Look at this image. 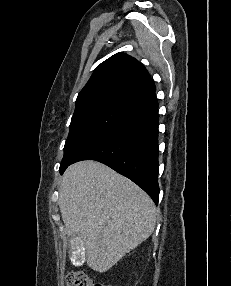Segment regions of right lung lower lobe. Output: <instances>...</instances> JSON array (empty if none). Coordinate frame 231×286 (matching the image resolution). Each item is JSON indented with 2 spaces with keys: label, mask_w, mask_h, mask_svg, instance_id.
Wrapping results in <instances>:
<instances>
[{
  "label": "right lung lower lobe",
  "mask_w": 231,
  "mask_h": 286,
  "mask_svg": "<svg viewBox=\"0 0 231 286\" xmlns=\"http://www.w3.org/2000/svg\"><path fill=\"white\" fill-rule=\"evenodd\" d=\"M120 122L84 149L71 163L96 160L128 177L157 204L158 186V102L155 91Z\"/></svg>",
  "instance_id": "1"
}]
</instances>
